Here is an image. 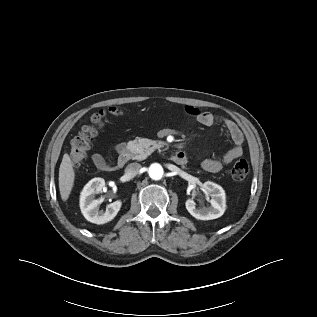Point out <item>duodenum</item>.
<instances>
[{
	"label": "duodenum",
	"mask_w": 317,
	"mask_h": 317,
	"mask_svg": "<svg viewBox=\"0 0 317 317\" xmlns=\"http://www.w3.org/2000/svg\"><path fill=\"white\" fill-rule=\"evenodd\" d=\"M130 159V153L127 150H123L119 155L116 162H111L108 164L106 171H114L122 168ZM171 160L178 164L183 165L187 162V157L182 151H175L171 155Z\"/></svg>",
	"instance_id": "obj_1"
}]
</instances>
